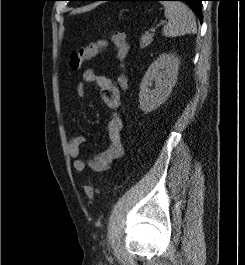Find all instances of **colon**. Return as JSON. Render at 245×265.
<instances>
[{
	"mask_svg": "<svg viewBox=\"0 0 245 265\" xmlns=\"http://www.w3.org/2000/svg\"><path fill=\"white\" fill-rule=\"evenodd\" d=\"M110 43L115 46L116 57L120 63L121 68L124 70L126 59L129 53V45L126 34L120 31L114 32L108 37L99 38L91 42L89 45L73 51L69 55V68L73 71H78L83 63L102 53L107 49ZM127 85V76L125 73H122L118 78V86L120 89L125 90L127 88ZM84 192L89 201H92L98 194V190L92 184L85 185Z\"/></svg>",
	"mask_w": 245,
	"mask_h": 265,
	"instance_id": "1",
	"label": "colon"
}]
</instances>
